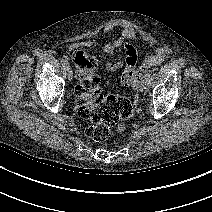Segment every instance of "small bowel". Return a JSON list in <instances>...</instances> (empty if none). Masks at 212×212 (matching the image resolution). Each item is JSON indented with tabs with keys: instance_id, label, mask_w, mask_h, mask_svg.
I'll return each mask as SVG.
<instances>
[{
	"instance_id": "c3829d8e",
	"label": "small bowel",
	"mask_w": 212,
	"mask_h": 212,
	"mask_svg": "<svg viewBox=\"0 0 212 212\" xmlns=\"http://www.w3.org/2000/svg\"><path fill=\"white\" fill-rule=\"evenodd\" d=\"M118 27H121L119 37L112 42L106 43L103 47V52L106 55H112L121 48L124 57L117 61H107L105 63V67L109 71L123 69L122 76L128 75L134 81L132 86L136 87L141 81L144 72L159 65L169 54V50L165 47H160L152 55L145 57L139 63L137 49L133 45L127 43L128 41L138 40V36L132 26L115 21L109 22L103 27L101 34L102 36H105ZM97 43L98 40L95 38L78 41L71 44L68 50L75 53L77 51H81L82 49L91 48Z\"/></svg>"
}]
</instances>
